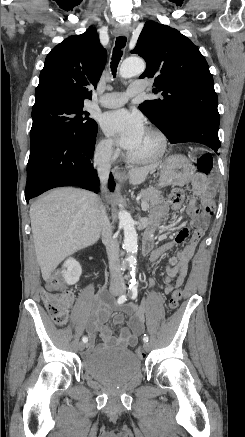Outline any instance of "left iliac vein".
I'll use <instances>...</instances> for the list:
<instances>
[{"label":"left iliac vein","mask_w":245,"mask_h":437,"mask_svg":"<svg viewBox=\"0 0 245 437\" xmlns=\"http://www.w3.org/2000/svg\"><path fill=\"white\" fill-rule=\"evenodd\" d=\"M143 347H144V349H145L146 351H148V350H150L151 345H150L148 342H145L144 345H143Z\"/></svg>","instance_id":"obj_1"}]
</instances>
